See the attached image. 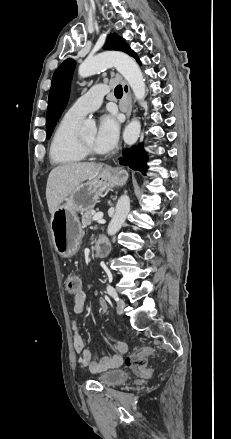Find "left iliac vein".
Returning a JSON list of instances; mask_svg holds the SVG:
<instances>
[{
	"mask_svg": "<svg viewBox=\"0 0 231 439\" xmlns=\"http://www.w3.org/2000/svg\"><path fill=\"white\" fill-rule=\"evenodd\" d=\"M116 307H117V312H118L119 314H122V313L124 312V308H125V302H124V300L121 299V298H118V299L116 300Z\"/></svg>",
	"mask_w": 231,
	"mask_h": 439,
	"instance_id": "4c4485c4",
	"label": "left iliac vein"
}]
</instances>
